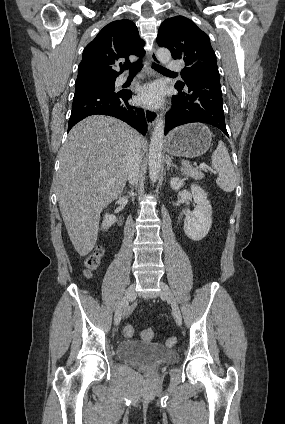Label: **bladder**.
I'll return each instance as SVG.
<instances>
[{"instance_id":"31cf9c89","label":"bladder","mask_w":285,"mask_h":424,"mask_svg":"<svg viewBox=\"0 0 285 424\" xmlns=\"http://www.w3.org/2000/svg\"><path fill=\"white\" fill-rule=\"evenodd\" d=\"M121 360L137 365L170 364L177 360L175 350L165 348L158 343L122 341L118 346Z\"/></svg>"}]
</instances>
